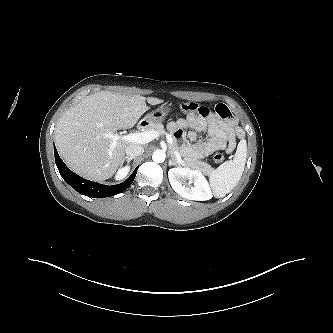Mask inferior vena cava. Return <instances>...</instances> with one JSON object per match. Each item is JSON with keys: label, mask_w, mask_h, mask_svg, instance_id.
Listing matches in <instances>:
<instances>
[{"label": "inferior vena cava", "mask_w": 333, "mask_h": 333, "mask_svg": "<svg viewBox=\"0 0 333 333\" xmlns=\"http://www.w3.org/2000/svg\"><path fill=\"white\" fill-rule=\"evenodd\" d=\"M125 152H126L127 156L136 157V156L142 155L144 152V149L142 146L133 143L126 147Z\"/></svg>", "instance_id": "inferior-vena-cava-1"}]
</instances>
